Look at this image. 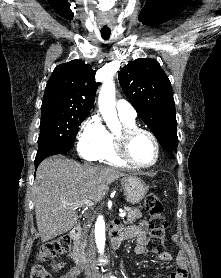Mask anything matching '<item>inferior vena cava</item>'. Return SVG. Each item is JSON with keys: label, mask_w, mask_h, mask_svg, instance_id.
<instances>
[{"label": "inferior vena cava", "mask_w": 221, "mask_h": 278, "mask_svg": "<svg viewBox=\"0 0 221 278\" xmlns=\"http://www.w3.org/2000/svg\"><path fill=\"white\" fill-rule=\"evenodd\" d=\"M92 237V235H91ZM86 262L84 265V269L85 271H96V266H95V246L94 243L92 241V239L90 240V243L88 245V249L86 252Z\"/></svg>", "instance_id": "602c4592"}]
</instances>
